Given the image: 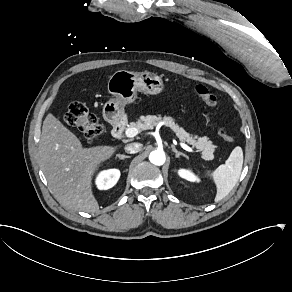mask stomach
Here are the masks:
<instances>
[{"mask_svg": "<svg viewBox=\"0 0 292 292\" xmlns=\"http://www.w3.org/2000/svg\"><path fill=\"white\" fill-rule=\"evenodd\" d=\"M138 91L157 96L164 91V82L159 75L150 71H116L108 81V92L115 98L104 104L102 110L104 120L111 125L120 123L127 117L125 106L137 99Z\"/></svg>", "mask_w": 292, "mask_h": 292, "instance_id": "0dacf381", "label": "stomach"}]
</instances>
